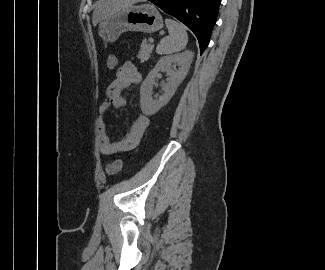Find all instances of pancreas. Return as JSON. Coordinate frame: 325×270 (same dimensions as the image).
Instances as JSON below:
<instances>
[{
  "mask_svg": "<svg viewBox=\"0 0 325 270\" xmlns=\"http://www.w3.org/2000/svg\"><path fill=\"white\" fill-rule=\"evenodd\" d=\"M154 46L147 42V40H144L141 43L140 51L138 53V59L141 61H145L149 58Z\"/></svg>",
  "mask_w": 325,
  "mask_h": 270,
  "instance_id": "1",
  "label": "pancreas"
}]
</instances>
